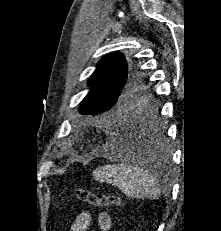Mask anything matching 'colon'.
I'll return each instance as SVG.
<instances>
[{"label":"colon","mask_w":221,"mask_h":231,"mask_svg":"<svg viewBox=\"0 0 221 231\" xmlns=\"http://www.w3.org/2000/svg\"><path fill=\"white\" fill-rule=\"evenodd\" d=\"M73 192L79 200L91 206L107 207V206H121L122 205L121 198L115 195L95 194L89 191L88 189L82 188V187L74 188Z\"/></svg>","instance_id":"5ec220e1"}]
</instances>
